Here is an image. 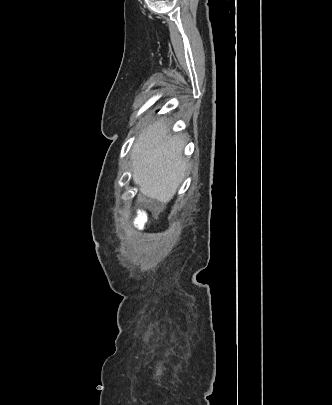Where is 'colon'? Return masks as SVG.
I'll return each mask as SVG.
<instances>
[{"label": "colon", "instance_id": "5ec220e1", "mask_svg": "<svg viewBox=\"0 0 332 405\" xmlns=\"http://www.w3.org/2000/svg\"><path fill=\"white\" fill-rule=\"evenodd\" d=\"M147 222H148V218L146 216H144V215L139 216L138 225L140 227H144Z\"/></svg>", "mask_w": 332, "mask_h": 405}]
</instances>
